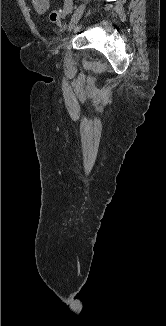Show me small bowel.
<instances>
[{
  "label": "small bowel",
  "instance_id": "small-bowel-1",
  "mask_svg": "<svg viewBox=\"0 0 166 326\" xmlns=\"http://www.w3.org/2000/svg\"><path fill=\"white\" fill-rule=\"evenodd\" d=\"M33 10L38 14H44L50 7V0H31Z\"/></svg>",
  "mask_w": 166,
  "mask_h": 326
}]
</instances>
